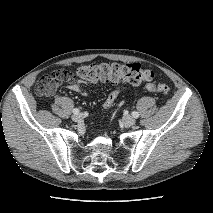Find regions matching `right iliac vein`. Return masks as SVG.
Wrapping results in <instances>:
<instances>
[{"label":"right iliac vein","mask_w":213,"mask_h":213,"mask_svg":"<svg viewBox=\"0 0 213 213\" xmlns=\"http://www.w3.org/2000/svg\"><path fill=\"white\" fill-rule=\"evenodd\" d=\"M83 119V116H82V114H74V115H72V120L74 121V122H80L81 120Z\"/></svg>","instance_id":"obj_1"}]
</instances>
